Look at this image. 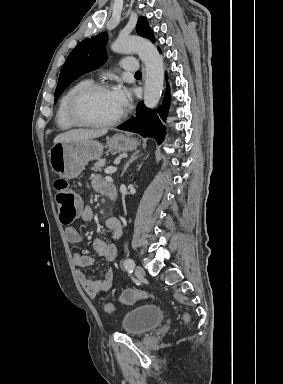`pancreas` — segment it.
Listing matches in <instances>:
<instances>
[{"mask_svg":"<svg viewBox=\"0 0 283 384\" xmlns=\"http://www.w3.org/2000/svg\"><path fill=\"white\" fill-rule=\"evenodd\" d=\"M103 166H105V160H99V162H96V164H94L91 170H94V172H102Z\"/></svg>","mask_w":283,"mask_h":384,"instance_id":"obj_1","label":"pancreas"}]
</instances>
